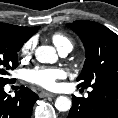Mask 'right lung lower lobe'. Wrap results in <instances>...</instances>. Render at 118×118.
Segmentation results:
<instances>
[{"label": "right lung lower lobe", "mask_w": 118, "mask_h": 118, "mask_svg": "<svg viewBox=\"0 0 118 118\" xmlns=\"http://www.w3.org/2000/svg\"><path fill=\"white\" fill-rule=\"evenodd\" d=\"M5 85H0V118H30L38 95L21 86L15 97H11L4 91Z\"/></svg>", "instance_id": "obj_1"}]
</instances>
